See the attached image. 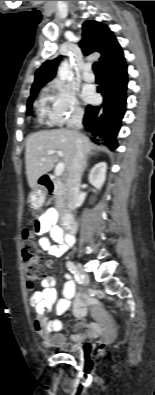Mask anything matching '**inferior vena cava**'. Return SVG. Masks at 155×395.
<instances>
[{
  "label": "inferior vena cava",
  "instance_id": "602c4592",
  "mask_svg": "<svg viewBox=\"0 0 155 395\" xmlns=\"http://www.w3.org/2000/svg\"><path fill=\"white\" fill-rule=\"evenodd\" d=\"M83 114L79 113L75 122V126L82 128ZM84 164V152L80 145L77 146L76 153L68 167V178L66 182V198L67 206L71 211H74L78 206L79 188L81 182L82 169Z\"/></svg>",
  "mask_w": 155,
  "mask_h": 395
}]
</instances>
